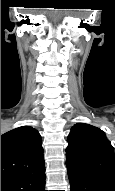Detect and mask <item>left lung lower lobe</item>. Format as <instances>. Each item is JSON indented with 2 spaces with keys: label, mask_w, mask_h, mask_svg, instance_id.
Listing matches in <instances>:
<instances>
[{
  "label": "left lung lower lobe",
  "mask_w": 115,
  "mask_h": 191,
  "mask_svg": "<svg viewBox=\"0 0 115 191\" xmlns=\"http://www.w3.org/2000/svg\"><path fill=\"white\" fill-rule=\"evenodd\" d=\"M68 168L70 191H115V182L100 176L77 172Z\"/></svg>",
  "instance_id": "obj_1"
}]
</instances>
